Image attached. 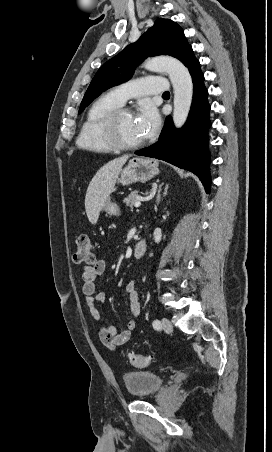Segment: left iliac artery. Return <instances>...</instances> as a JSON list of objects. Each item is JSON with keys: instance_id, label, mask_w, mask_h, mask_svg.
<instances>
[{"instance_id": "44dca946", "label": "left iliac artery", "mask_w": 272, "mask_h": 452, "mask_svg": "<svg viewBox=\"0 0 272 452\" xmlns=\"http://www.w3.org/2000/svg\"><path fill=\"white\" fill-rule=\"evenodd\" d=\"M153 327H154V329H156V330L161 329V322H160L158 319L154 320V321H153Z\"/></svg>"}]
</instances>
